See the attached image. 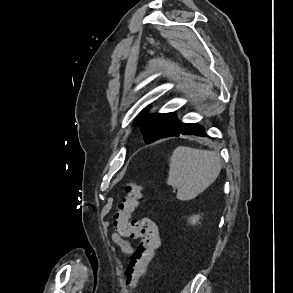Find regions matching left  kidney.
Segmentation results:
<instances>
[{
	"mask_svg": "<svg viewBox=\"0 0 293 293\" xmlns=\"http://www.w3.org/2000/svg\"><path fill=\"white\" fill-rule=\"evenodd\" d=\"M200 220V215H193L189 218V222L192 224V225H195L199 222Z\"/></svg>",
	"mask_w": 293,
	"mask_h": 293,
	"instance_id": "1",
	"label": "left kidney"
}]
</instances>
